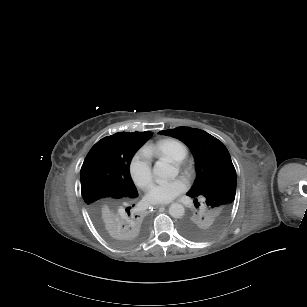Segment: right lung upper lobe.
Masks as SVG:
<instances>
[{"instance_id": "obj_1", "label": "right lung upper lobe", "mask_w": 307, "mask_h": 307, "mask_svg": "<svg viewBox=\"0 0 307 307\" xmlns=\"http://www.w3.org/2000/svg\"><path fill=\"white\" fill-rule=\"evenodd\" d=\"M151 136L149 131L119 132L101 139L89 151L87 158H93L106 166L120 183L115 193L85 203L102 230L128 233L135 237L145 231L149 217L139 202L129 165L135 152Z\"/></svg>"}]
</instances>
